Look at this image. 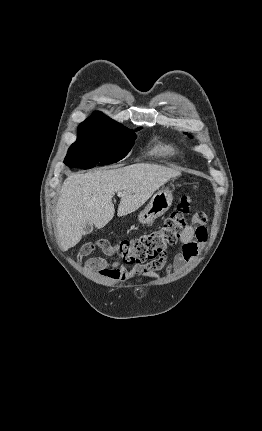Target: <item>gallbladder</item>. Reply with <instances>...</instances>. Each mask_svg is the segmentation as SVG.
I'll return each instance as SVG.
<instances>
[{
	"label": "gallbladder",
	"mask_w": 262,
	"mask_h": 431,
	"mask_svg": "<svg viewBox=\"0 0 262 431\" xmlns=\"http://www.w3.org/2000/svg\"><path fill=\"white\" fill-rule=\"evenodd\" d=\"M93 231V226L89 223L86 222L84 228H83V235H88Z\"/></svg>",
	"instance_id": "1"
}]
</instances>
